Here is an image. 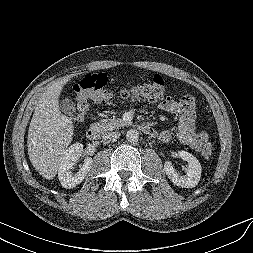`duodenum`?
<instances>
[{
  "label": "duodenum",
  "instance_id": "410a0bca",
  "mask_svg": "<svg viewBox=\"0 0 253 253\" xmlns=\"http://www.w3.org/2000/svg\"><path fill=\"white\" fill-rule=\"evenodd\" d=\"M141 130L149 135L154 133V130L148 125H142ZM100 137V129L97 125H91L87 131V138L91 141H95Z\"/></svg>",
  "mask_w": 253,
  "mask_h": 253
}]
</instances>
